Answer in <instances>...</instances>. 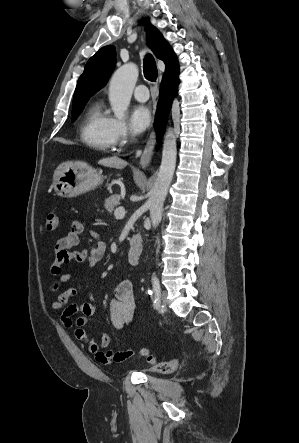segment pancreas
I'll use <instances>...</instances> for the list:
<instances>
[{
  "label": "pancreas",
  "instance_id": "1",
  "mask_svg": "<svg viewBox=\"0 0 299 443\" xmlns=\"http://www.w3.org/2000/svg\"><path fill=\"white\" fill-rule=\"evenodd\" d=\"M120 196L119 195H112L105 201V209L111 213L115 207L120 205Z\"/></svg>",
  "mask_w": 299,
  "mask_h": 443
}]
</instances>
